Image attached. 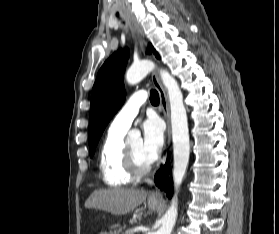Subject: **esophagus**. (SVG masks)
<instances>
[{
    "instance_id": "esophagus-1",
    "label": "esophagus",
    "mask_w": 279,
    "mask_h": 234,
    "mask_svg": "<svg viewBox=\"0 0 279 234\" xmlns=\"http://www.w3.org/2000/svg\"><path fill=\"white\" fill-rule=\"evenodd\" d=\"M125 16L127 18L128 23L130 24V26L137 33L138 38H139L140 47L143 50L145 48V39H144L142 30L139 28L136 21L134 20V18L132 17V15L129 12H125ZM152 82L159 94L160 109H161L163 116L167 123L168 144H170V140H171L170 108H169V103L167 100L166 93L164 91V88L159 80V77H158L156 71L152 72ZM149 198L152 200H160L162 198V193H161L160 189H155V190L151 191V193L149 194Z\"/></svg>"
}]
</instances>
